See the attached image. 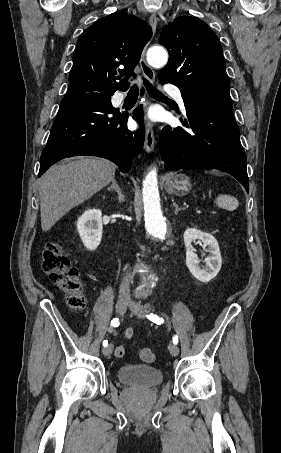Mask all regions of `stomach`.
Wrapping results in <instances>:
<instances>
[{
	"label": "stomach",
	"mask_w": 281,
	"mask_h": 453,
	"mask_svg": "<svg viewBox=\"0 0 281 453\" xmlns=\"http://www.w3.org/2000/svg\"><path fill=\"white\" fill-rule=\"evenodd\" d=\"M164 186L169 194L184 196L191 190V180L185 174H167L164 178Z\"/></svg>",
	"instance_id": "0dacf381"
}]
</instances>
